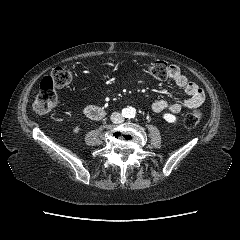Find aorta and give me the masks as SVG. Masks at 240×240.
Returning <instances> with one entry per match:
<instances>
[{
  "instance_id": "762f6f07",
  "label": "aorta",
  "mask_w": 240,
  "mask_h": 240,
  "mask_svg": "<svg viewBox=\"0 0 240 240\" xmlns=\"http://www.w3.org/2000/svg\"><path fill=\"white\" fill-rule=\"evenodd\" d=\"M125 115L129 118H133L136 115V109L133 107H127L125 109Z\"/></svg>"
}]
</instances>
